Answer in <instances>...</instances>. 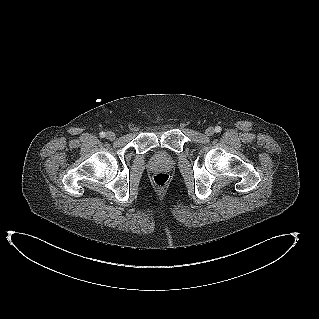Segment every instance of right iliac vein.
Instances as JSON below:
<instances>
[{
  "label": "right iliac vein",
  "instance_id": "1",
  "mask_svg": "<svg viewBox=\"0 0 319 319\" xmlns=\"http://www.w3.org/2000/svg\"><path fill=\"white\" fill-rule=\"evenodd\" d=\"M115 137H116V135H115V133L112 132V131H109V132H107V134H106V138H107L108 140H114Z\"/></svg>",
  "mask_w": 319,
  "mask_h": 319
}]
</instances>
